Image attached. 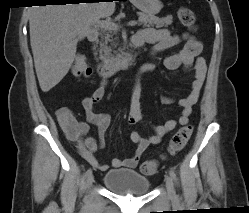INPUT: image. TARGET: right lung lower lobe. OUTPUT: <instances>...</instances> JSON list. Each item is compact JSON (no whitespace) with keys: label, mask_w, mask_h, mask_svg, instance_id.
<instances>
[{"label":"right lung lower lobe","mask_w":249,"mask_h":213,"mask_svg":"<svg viewBox=\"0 0 249 213\" xmlns=\"http://www.w3.org/2000/svg\"><path fill=\"white\" fill-rule=\"evenodd\" d=\"M45 2H48V3H55V4H66V3H78L81 1V0H44ZM110 1H113V0H110ZM45 2H42V3H45Z\"/></svg>","instance_id":"1"}]
</instances>
